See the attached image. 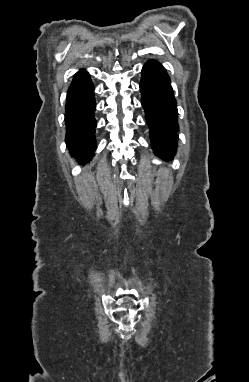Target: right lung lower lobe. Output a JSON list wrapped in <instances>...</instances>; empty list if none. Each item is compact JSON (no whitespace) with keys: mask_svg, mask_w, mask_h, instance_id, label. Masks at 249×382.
Wrapping results in <instances>:
<instances>
[{"mask_svg":"<svg viewBox=\"0 0 249 382\" xmlns=\"http://www.w3.org/2000/svg\"><path fill=\"white\" fill-rule=\"evenodd\" d=\"M94 86L85 70L75 74L67 92L66 144L80 164L92 159L96 149Z\"/></svg>","mask_w":249,"mask_h":382,"instance_id":"right-lung-lower-lobe-1","label":"right lung lower lobe"}]
</instances>
